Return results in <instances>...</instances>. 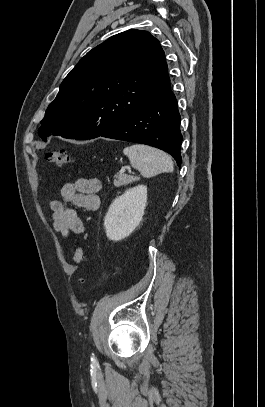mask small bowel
<instances>
[{"instance_id": "small-bowel-1", "label": "small bowel", "mask_w": 265, "mask_h": 407, "mask_svg": "<svg viewBox=\"0 0 265 407\" xmlns=\"http://www.w3.org/2000/svg\"><path fill=\"white\" fill-rule=\"evenodd\" d=\"M100 190L101 181L98 178H79L65 183L61 188V199L51 203L52 215L49 221L53 232L61 234L65 239L71 234L85 233V223L76 208L96 211L100 203Z\"/></svg>"}]
</instances>
